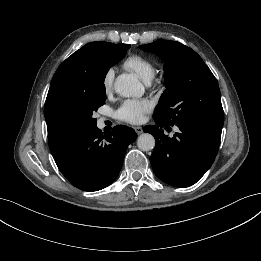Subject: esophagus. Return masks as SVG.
<instances>
[{"mask_svg":"<svg viewBox=\"0 0 261 261\" xmlns=\"http://www.w3.org/2000/svg\"><path fill=\"white\" fill-rule=\"evenodd\" d=\"M134 129L138 135L143 133V128L140 126H136L134 127Z\"/></svg>","mask_w":261,"mask_h":261,"instance_id":"obj_1","label":"esophagus"}]
</instances>
